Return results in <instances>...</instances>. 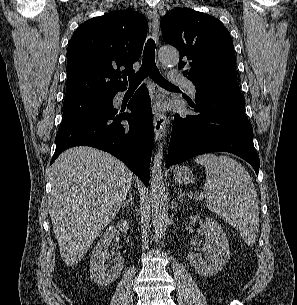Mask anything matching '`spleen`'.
<instances>
[{
	"mask_svg": "<svg viewBox=\"0 0 297 305\" xmlns=\"http://www.w3.org/2000/svg\"><path fill=\"white\" fill-rule=\"evenodd\" d=\"M195 162L205 166L203 190L208 209L233 226L246 244L253 245L260 219L257 193L249 173L227 156L204 154Z\"/></svg>",
	"mask_w": 297,
	"mask_h": 305,
	"instance_id": "3e777b00",
	"label": "spleen"
}]
</instances>
